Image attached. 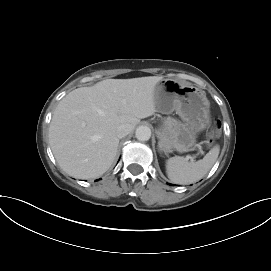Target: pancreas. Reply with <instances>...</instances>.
<instances>
[{
    "mask_svg": "<svg viewBox=\"0 0 271 271\" xmlns=\"http://www.w3.org/2000/svg\"><path fill=\"white\" fill-rule=\"evenodd\" d=\"M164 123H165L166 128L171 129L174 127L176 121L173 118L168 117L164 120Z\"/></svg>",
    "mask_w": 271,
    "mask_h": 271,
    "instance_id": "pancreas-1",
    "label": "pancreas"
}]
</instances>
